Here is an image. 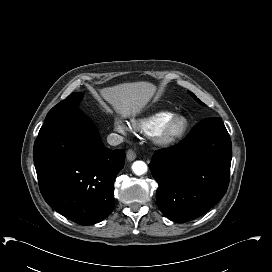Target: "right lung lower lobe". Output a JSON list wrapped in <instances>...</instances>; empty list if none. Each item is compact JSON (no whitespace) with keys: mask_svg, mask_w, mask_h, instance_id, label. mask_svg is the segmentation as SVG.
<instances>
[{"mask_svg":"<svg viewBox=\"0 0 272 272\" xmlns=\"http://www.w3.org/2000/svg\"><path fill=\"white\" fill-rule=\"evenodd\" d=\"M33 158L40 191L54 210L81 225L109 216L115 204L114 180L125 153L106 148L78 108L44 122Z\"/></svg>","mask_w":272,"mask_h":272,"instance_id":"right-lung-lower-lobe-1","label":"right lung lower lobe"}]
</instances>
